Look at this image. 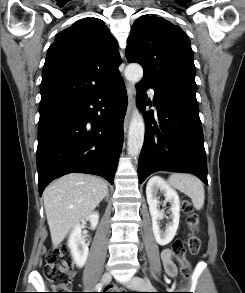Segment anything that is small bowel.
Segmentation results:
<instances>
[{
    "label": "small bowel",
    "instance_id": "small-bowel-1",
    "mask_svg": "<svg viewBox=\"0 0 245 293\" xmlns=\"http://www.w3.org/2000/svg\"><path fill=\"white\" fill-rule=\"evenodd\" d=\"M162 262L164 264V268L166 273L170 277H175L178 273L177 266L174 263L172 252L169 249H166L162 252L161 255Z\"/></svg>",
    "mask_w": 245,
    "mask_h": 293
}]
</instances>
